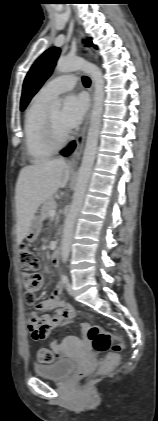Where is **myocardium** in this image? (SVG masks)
<instances>
[{"label": "myocardium", "mask_w": 158, "mask_h": 421, "mask_svg": "<svg viewBox=\"0 0 158 421\" xmlns=\"http://www.w3.org/2000/svg\"><path fill=\"white\" fill-rule=\"evenodd\" d=\"M44 136L47 144L55 150L62 148L69 140L70 133L67 132L60 136L57 134L49 112L45 115Z\"/></svg>", "instance_id": "1"}]
</instances>
